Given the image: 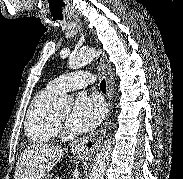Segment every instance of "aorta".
I'll return each instance as SVG.
<instances>
[{
    "instance_id": "1",
    "label": "aorta",
    "mask_w": 183,
    "mask_h": 179,
    "mask_svg": "<svg viewBox=\"0 0 183 179\" xmlns=\"http://www.w3.org/2000/svg\"><path fill=\"white\" fill-rule=\"evenodd\" d=\"M96 55L93 48H85L77 53L72 54L68 59V66L71 69H79L90 63ZM73 103L72 96L63 95L54 101L53 105L56 108L70 107ZM111 153V141L107 139L99 153L96 155L93 168L90 172L89 179H104L105 171L108 166V161Z\"/></svg>"
}]
</instances>
